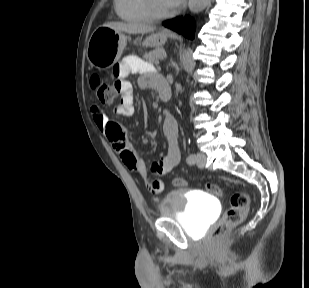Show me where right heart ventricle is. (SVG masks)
<instances>
[{
    "label": "right heart ventricle",
    "mask_w": 309,
    "mask_h": 288,
    "mask_svg": "<svg viewBox=\"0 0 309 288\" xmlns=\"http://www.w3.org/2000/svg\"><path fill=\"white\" fill-rule=\"evenodd\" d=\"M117 15L130 23H149L154 19L149 14L144 0H114Z\"/></svg>",
    "instance_id": "e07e8e85"
}]
</instances>
